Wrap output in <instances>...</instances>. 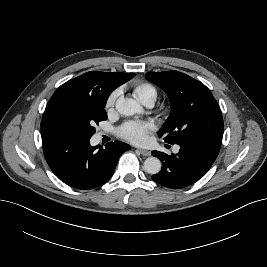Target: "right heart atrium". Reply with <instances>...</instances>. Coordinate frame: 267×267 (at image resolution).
<instances>
[{"instance_id":"right-heart-atrium-1","label":"right heart atrium","mask_w":267,"mask_h":267,"mask_svg":"<svg viewBox=\"0 0 267 267\" xmlns=\"http://www.w3.org/2000/svg\"><path fill=\"white\" fill-rule=\"evenodd\" d=\"M119 96V91L118 90H114L106 99L105 101V109L107 111H110L113 109L115 102L117 100Z\"/></svg>"}]
</instances>
